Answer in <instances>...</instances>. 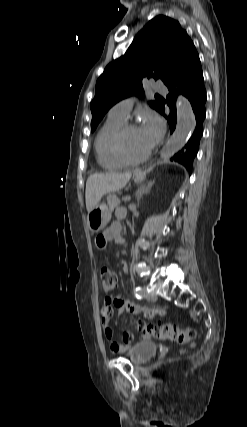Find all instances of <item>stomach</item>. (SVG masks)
<instances>
[{
	"mask_svg": "<svg viewBox=\"0 0 247 427\" xmlns=\"http://www.w3.org/2000/svg\"><path fill=\"white\" fill-rule=\"evenodd\" d=\"M135 182H142L143 177L135 176ZM110 220V209L105 203H98L87 216L88 227L92 232L102 230Z\"/></svg>",
	"mask_w": 247,
	"mask_h": 427,
	"instance_id": "stomach-1",
	"label": "stomach"
}]
</instances>
